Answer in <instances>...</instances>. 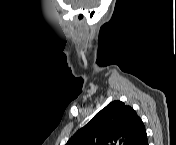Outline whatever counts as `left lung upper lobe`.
Here are the masks:
<instances>
[{"instance_id":"left-lung-upper-lobe-1","label":"left lung upper lobe","mask_w":176,"mask_h":145,"mask_svg":"<svg viewBox=\"0 0 176 145\" xmlns=\"http://www.w3.org/2000/svg\"><path fill=\"white\" fill-rule=\"evenodd\" d=\"M145 133V126L134 109L121 101H113L66 145H138Z\"/></svg>"}]
</instances>
